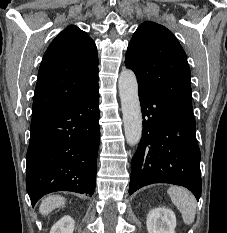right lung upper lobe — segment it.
Masks as SVG:
<instances>
[{
	"instance_id": "obj_1",
	"label": "right lung upper lobe",
	"mask_w": 227,
	"mask_h": 233,
	"mask_svg": "<svg viewBox=\"0 0 227 233\" xmlns=\"http://www.w3.org/2000/svg\"><path fill=\"white\" fill-rule=\"evenodd\" d=\"M98 85V54L88 34L64 29L42 59L34 93L32 120L84 95Z\"/></svg>"
}]
</instances>
